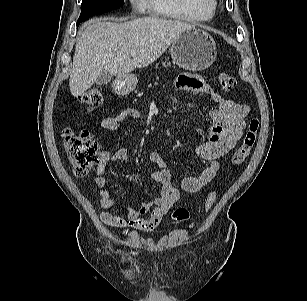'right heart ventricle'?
Returning a JSON list of instances; mask_svg holds the SVG:
<instances>
[{"mask_svg": "<svg viewBox=\"0 0 307 301\" xmlns=\"http://www.w3.org/2000/svg\"><path fill=\"white\" fill-rule=\"evenodd\" d=\"M144 6L153 14L186 21L202 22L215 13V0H144Z\"/></svg>", "mask_w": 307, "mask_h": 301, "instance_id": "obj_1", "label": "right heart ventricle"}]
</instances>
